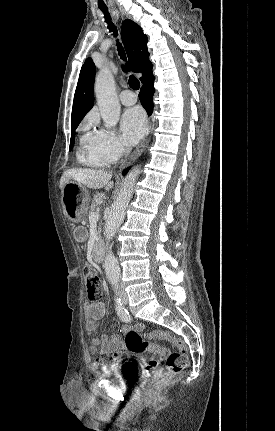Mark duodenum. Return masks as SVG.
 <instances>
[{
	"label": "duodenum",
	"instance_id": "obj_1",
	"mask_svg": "<svg viewBox=\"0 0 275 431\" xmlns=\"http://www.w3.org/2000/svg\"><path fill=\"white\" fill-rule=\"evenodd\" d=\"M92 256L95 262L100 263L105 256V244L101 239H98L94 244Z\"/></svg>",
	"mask_w": 275,
	"mask_h": 431
}]
</instances>
